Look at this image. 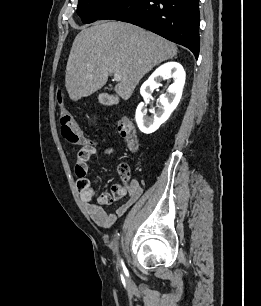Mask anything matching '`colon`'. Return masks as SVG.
<instances>
[{
	"instance_id": "obj_1",
	"label": "colon",
	"mask_w": 261,
	"mask_h": 306,
	"mask_svg": "<svg viewBox=\"0 0 261 306\" xmlns=\"http://www.w3.org/2000/svg\"><path fill=\"white\" fill-rule=\"evenodd\" d=\"M56 102L58 105L59 122L63 137L71 144L81 146L79 158L88 157L93 150L92 142L83 136L81 128L74 116L70 110L64 106L62 93L60 91L56 92ZM116 127L127 146L131 150H136L138 147V142L131 123L126 119H120L117 121ZM119 174L122 179L126 181L129 177L128 167L126 165H121L119 167ZM77 185L79 189H86L89 187V183L86 180L78 181ZM121 193L122 192L120 189H111V191L103 194L99 198V202L102 205H110L121 197Z\"/></svg>"
}]
</instances>
